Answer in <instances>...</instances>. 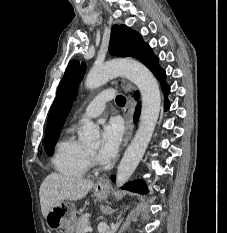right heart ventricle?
Instances as JSON below:
<instances>
[{"mask_svg": "<svg viewBox=\"0 0 227 233\" xmlns=\"http://www.w3.org/2000/svg\"><path fill=\"white\" fill-rule=\"evenodd\" d=\"M55 170L67 177L80 178L87 174L89 160L86 149L69 130L57 143L52 158Z\"/></svg>", "mask_w": 227, "mask_h": 233, "instance_id": "obj_1", "label": "right heart ventricle"}]
</instances>
